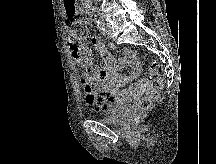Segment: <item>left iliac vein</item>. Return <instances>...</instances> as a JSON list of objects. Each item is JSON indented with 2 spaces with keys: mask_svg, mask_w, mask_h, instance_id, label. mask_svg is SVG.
<instances>
[{
  "mask_svg": "<svg viewBox=\"0 0 216 164\" xmlns=\"http://www.w3.org/2000/svg\"><path fill=\"white\" fill-rule=\"evenodd\" d=\"M105 35L108 37V38H111V35H112V29H111V26L108 24L107 25V29L105 31Z\"/></svg>",
  "mask_w": 216,
  "mask_h": 164,
  "instance_id": "4c4485c4",
  "label": "left iliac vein"
}]
</instances>
